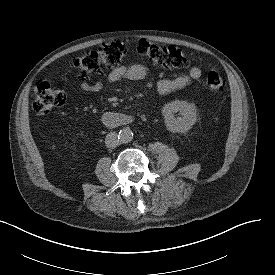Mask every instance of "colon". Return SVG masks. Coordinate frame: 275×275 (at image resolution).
Here are the masks:
<instances>
[{"mask_svg":"<svg viewBox=\"0 0 275 275\" xmlns=\"http://www.w3.org/2000/svg\"><path fill=\"white\" fill-rule=\"evenodd\" d=\"M136 52L165 67L182 69L189 61L179 49L169 46H159L148 41H140ZM126 55L125 46L118 42L105 44L97 50L89 51L73 60L72 64L82 75L100 74L105 69L118 66ZM205 86L214 92L222 91L225 81L217 71H210L205 78ZM66 101V93L53 87L47 81H38L34 86L32 108L38 115H45L53 108L62 106Z\"/></svg>","mask_w":275,"mask_h":275,"instance_id":"colon-1","label":"colon"}]
</instances>
